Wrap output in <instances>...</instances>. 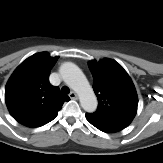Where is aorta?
I'll return each instance as SVG.
<instances>
[{
	"mask_svg": "<svg viewBox=\"0 0 163 163\" xmlns=\"http://www.w3.org/2000/svg\"><path fill=\"white\" fill-rule=\"evenodd\" d=\"M60 75L79 96L81 107L86 112H94L97 108V98L82 71L73 63L66 62L60 67Z\"/></svg>",
	"mask_w": 163,
	"mask_h": 163,
	"instance_id": "aorta-1",
	"label": "aorta"
}]
</instances>
